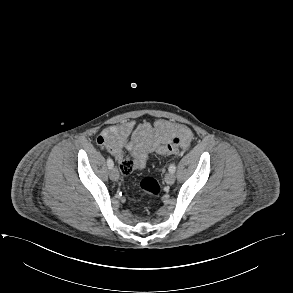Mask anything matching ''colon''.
<instances>
[{
	"instance_id": "1",
	"label": "colon",
	"mask_w": 293,
	"mask_h": 293,
	"mask_svg": "<svg viewBox=\"0 0 293 293\" xmlns=\"http://www.w3.org/2000/svg\"><path fill=\"white\" fill-rule=\"evenodd\" d=\"M180 147V139L178 137H173L171 140L162 143L156 148V152L159 155H173L177 153L178 149ZM140 188L152 195L153 197H158L162 193V186L158 182L157 179L151 176H146L141 179Z\"/></svg>"
}]
</instances>
